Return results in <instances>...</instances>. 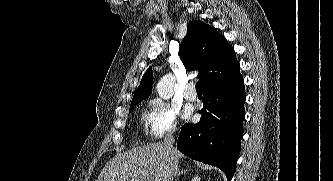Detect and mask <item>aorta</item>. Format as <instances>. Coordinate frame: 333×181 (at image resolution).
Listing matches in <instances>:
<instances>
[{"label": "aorta", "mask_w": 333, "mask_h": 181, "mask_svg": "<svg viewBox=\"0 0 333 181\" xmlns=\"http://www.w3.org/2000/svg\"><path fill=\"white\" fill-rule=\"evenodd\" d=\"M174 79V76L169 73L159 80L156 90L161 98L170 99L173 96Z\"/></svg>", "instance_id": "762f6f07"}]
</instances>
